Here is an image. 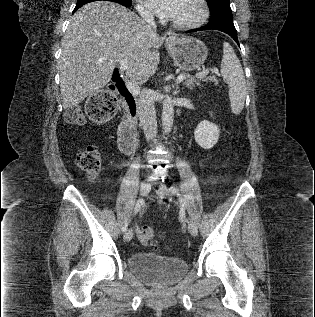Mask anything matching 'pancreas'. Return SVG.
Listing matches in <instances>:
<instances>
[{
    "label": "pancreas",
    "mask_w": 315,
    "mask_h": 317,
    "mask_svg": "<svg viewBox=\"0 0 315 317\" xmlns=\"http://www.w3.org/2000/svg\"><path fill=\"white\" fill-rule=\"evenodd\" d=\"M200 81H203V82L211 81V82H214L216 85L218 84L217 78L215 76L202 77V78L196 79L195 77H192L186 74L184 79V85H186L190 89H193L195 85L199 86Z\"/></svg>",
    "instance_id": "pancreas-1"
}]
</instances>
